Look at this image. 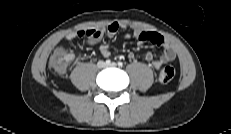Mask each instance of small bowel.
<instances>
[{
  "label": "small bowel",
  "mask_w": 231,
  "mask_h": 134,
  "mask_svg": "<svg viewBox=\"0 0 231 134\" xmlns=\"http://www.w3.org/2000/svg\"><path fill=\"white\" fill-rule=\"evenodd\" d=\"M120 28L119 23L113 22L106 26L103 29H89V30H78L71 32L66 35L65 40L70 41L75 38L87 37V43L90 46H95L103 37L112 38L114 37ZM133 35L137 38L139 42H150L157 46L162 47L163 52L158 59H154V55L151 52H145L142 55V60L150 63L155 69H159L162 65L172 62L176 53L172 48L171 44L160 34L155 32L143 31V30H134ZM126 37H130V33L126 34ZM101 54L104 57H109L111 52L107 45H102L100 48ZM128 57L131 60L136 59V54L130 52ZM71 60L74 58V54L70 53Z\"/></svg>",
  "instance_id": "c3829d8e"
}]
</instances>
